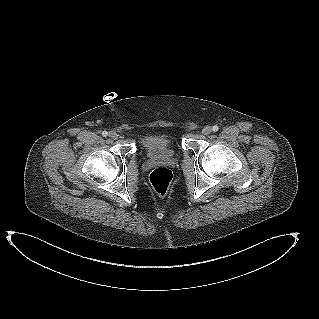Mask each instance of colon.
Returning <instances> with one entry per match:
<instances>
[{
    "instance_id": "obj_1",
    "label": "colon",
    "mask_w": 319,
    "mask_h": 319,
    "mask_svg": "<svg viewBox=\"0 0 319 319\" xmlns=\"http://www.w3.org/2000/svg\"><path fill=\"white\" fill-rule=\"evenodd\" d=\"M149 180L155 192L164 195L171 186L173 173L166 167H157L150 173Z\"/></svg>"
}]
</instances>
